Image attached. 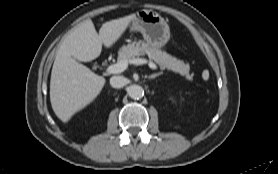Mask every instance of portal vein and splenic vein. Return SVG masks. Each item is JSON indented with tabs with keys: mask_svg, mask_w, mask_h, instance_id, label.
<instances>
[{
	"mask_svg": "<svg viewBox=\"0 0 278 174\" xmlns=\"http://www.w3.org/2000/svg\"><path fill=\"white\" fill-rule=\"evenodd\" d=\"M130 63L132 64H144V63H148L149 67L151 69L156 70L158 67L152 62V61H146V60H142V59H132L130 61ZM128 67V62L127 61H120L116 64H112L110 66H108L107 68V72L109 74H117V73H121L123 71H125Z\"/></svg>",
	"mask_w": 278,
	"mask_h": 174,
	"instance_id": "18ae733b",
	"label": "portal vein and splenic vein"
}]
</instances>
